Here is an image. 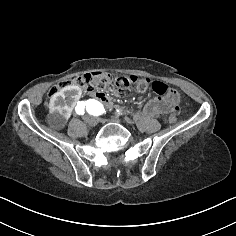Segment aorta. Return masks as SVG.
Returning a JSON list of instances; mask_svg holds the SVG:
<instances>
[{
    "label": "aorta",
    "mask_w": 236,
    "mask_h": 236,
    "mask_svg": "<svg viewBox=\"0 0 236 236\" xmlns=\"http://www.w3.org/2000/svg\"><path fill=\"white\" fill-rule=\"evenodd\" d=\"M93 102H95V103H98L97 101H92V100H90V101H87L86 103H85V108H86V110H90V108H91V106L94 104Z\"/></svg>",
    "instance_id": "aorta-1"
}]
</instances>
